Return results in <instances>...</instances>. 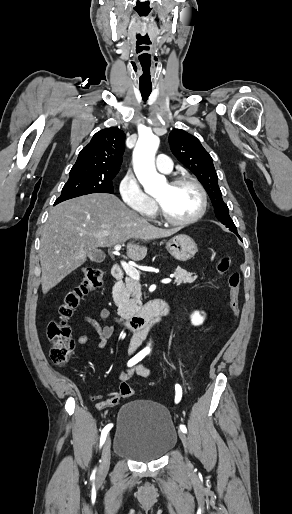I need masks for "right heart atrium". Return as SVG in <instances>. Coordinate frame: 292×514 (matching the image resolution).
<instances>
[{
  "instance_id": "d8ad5b80",
  "label": "right heart atrium",
  "mask_w": 292,
  "mask_h": 514,
  "mask_svg": "<svg viewBox=\"0 0 292 514\" xmlns=\"http://www.w3.org/2000/svg\"><path fill=\"white\" fill-rule=\"evenodd\" d=\"M118 191L122 201L130 209H142V213H146L153 207L152 200L130 170L126 171L120 179Z\"/></svg>"
}]
</instances>
